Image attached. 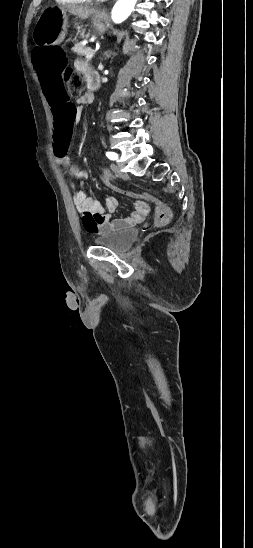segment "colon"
<instances>
[{"label": "colon", "instance_id": "5ec220e1", "mask_svg": "<svg viewBox=\"0 0 253 548\" xmlns=\"http://www.w3.org/2000/svg\"><path fill=\"white\" fill-rule=\"evenodd\" d=\"M33 61L36 70L40 73L41 86L46 102L51 105L53 119V144L52 152L57 159H62L68 155V142L74 132V124L77 120V111L73 104V99L69 98L65 88V78L70 96H80L84 90V78L66 68L67 55L59 46H50L37 49L33 52ZM65 71V77L63 76ZM98 179L102 175V182L108 183L105 187L114 193L121 192L128 196L140 197L155 207L156 221L159 225H165L170 222L172 213L170 208L154 195L141 191L136 188H130L117 182V177L111 176L106 169L99 170Z\"/></svg>", "mask_w": 253, "mask_h": 548}]
</instances>
